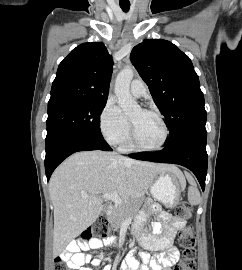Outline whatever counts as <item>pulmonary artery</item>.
Instances as JSON below:
<instances>
[{
	"label": "pulmonary artery",
	"instance_id": "pulmonary-artery-1",
	"mask_svg": "<svg viewBox=\"0 0 242 270\" xmlns=\"http://www.w3.org/2000/svg\"><path fill=\"white\" fill-rule=\"evenodd\" d=\"M146 85L145 83L140 79H135L131 82L130 85V93L136 97L140 98L146 94Z\"/></svg>",
	"mask_w": 242,
	"mask_h": 270
}]
</instances>
